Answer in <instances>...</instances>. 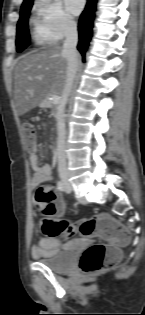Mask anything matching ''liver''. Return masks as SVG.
<instances>
[{"label":"liver","mask_w":145,"mask_h":315,"mask_svg":"<svg viewBox=\"0 0 145 315\" xmlns=\"http://www.w3.org/2000/svg\"><path fill=\"white\" fill-rule=\"evenodd\" d=\"M59 45L41 48L18 59L14 73L13 110L23 115L48 95L62 93L67 62Z\"/></svg>","instance_id":"obj_1"}]
</instances>
